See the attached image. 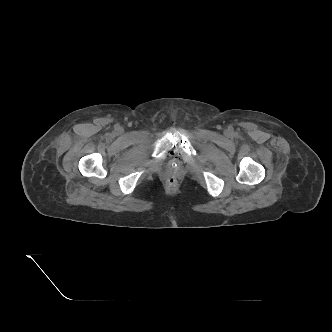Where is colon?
I'll list each match as a JSON object with an SVG mask.
<instances>
[{
  "instance_id": "colon-1",
  "label": "colon",
  "mask_w": 332,
  "mask_h": 332,
  "mask_svg": "<svg viewBox=\"0 0 332 332\" xmlns=\"http://www.w3.org/2000/svg\"><path fill=\"white\" fill-rule=\"evenodd\" d=\"M176 179L175 178H173V177H171V178H169L168 180H167V185L169 186V187H174L175 185H176Z\"/></svg>"
}]
</instances>
